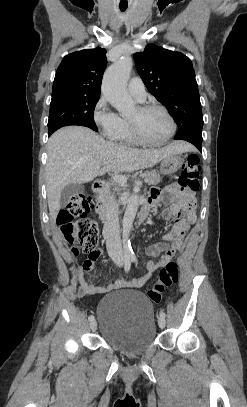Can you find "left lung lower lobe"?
I'll return each mask as SVG.
<instances>
[{
    "label": "left lung lower lobe",
    "instance_id": "0a47b994",
    "mask_svg": "<svg viewBox=\"0 0 247 407\" xmlns=\"http://www.w3.org/2000/svg\"><path fill=\"white\" fill-rule=\"evenodd\" d=\"M174 139L178 140H185L193 145H195L199 151H201L202 147V130L201 129H194L190 131H185L180 134H176Z\"/></svg>",
    "mask_w": 247,
    "mask_h": 407
}]
</instances>
